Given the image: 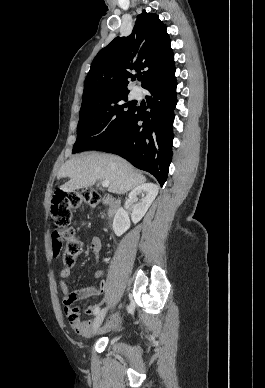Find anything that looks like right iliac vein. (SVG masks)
Returning <instances> with one entry per match:
<instances>
[{
	"mask_svg": "<svg viewBox=\"0 0 265 388\" xmlns=\"http://www.w3.org/2000/svg\"><path fill=\"white\" fill-rule=\"evenodd\" d=\"M106 312H107V308H104L97 314L96 318L94 319V323L92 327L93 333H96L98 331L99 327L101 326L104 320Z\"/></svg>",
	"mask_w": 265,
	"mask_h": 388,
	"instance_id": "obj_1",
	"label": "right iliac vein"
}]
</instances>
